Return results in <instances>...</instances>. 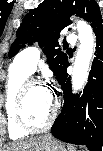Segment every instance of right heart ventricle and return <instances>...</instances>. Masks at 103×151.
<instances>
[{
  "instance_id": "e07e8e85",
  "label": "right heart ventricle",
  "mask_w": 103,
  "mask_h": 151,
  "mask_svg": "<svg viewBox=\"0 0 103 151\" xmlns=\"http://www.w3.org/2000/svg\"><path fill=\"white\" fill-rule=\"evenodd\" d=\"M30 74L15 61L10 66L9 76L5 87L4 109L7 121V131L11 139L17 140L26 137L29 132L22 130L14 118V105L17 93Z\"/></svg>"
}]
</instances>
